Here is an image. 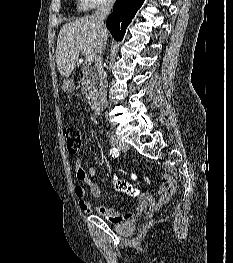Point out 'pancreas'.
I'll return each mask as SVG.
<instances>
[{
  "label": "pancreas",
  "mask_w": 233,
  "mask_h": 263,
  "mask_svg": "<svg viewBox=\"0 0 233 263\" xmlns=\"http://www.w3.org/2000/svg\"><path fill=\"white\" fill-rule=\"evenodd\" d=\"M80 82L82 84V94L85 95L90 102H92L97 94V72L95 71V68L87 63H84L82 66V76Z\"/></svg>",
  "instance_id": "cf45deb5"
}]
</instances>
